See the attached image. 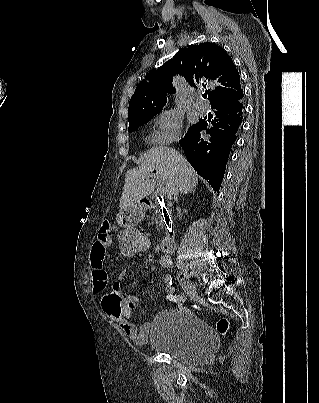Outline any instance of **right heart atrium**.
<instances>
[{
	"mask_svg": "<svg viewBox=\"0 0 319 403\" xmlns=\"http://www.w3.org/2000/svg\"><path fill=\"white\" fill-rule=\"evenodd\" d=\"M152 142L168 145L177 141L182 134V119L174 109H163L153 119Z\"/></svg>",
	"mask_w": 319,
	"mask_h": 403,
	"instance_id": "1",
	"label": "right heart atrium"
}]
</instances>
